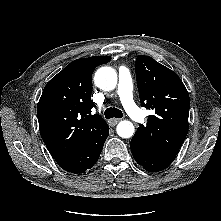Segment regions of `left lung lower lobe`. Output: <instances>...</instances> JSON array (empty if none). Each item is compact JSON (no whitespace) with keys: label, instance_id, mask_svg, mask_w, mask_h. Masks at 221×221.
I'll return each instance as SVG.
<instances>
[{"label":"left lung lower lobe","instance_id":"1","mask_svg":"<svg viewBox=\"0 0 221 221\" xmlns=\"http://www.w3.org/2000/svg\"><path fill=\"white\" fill-rule=\"evenodd\" d=\"M130 147L135 161L149 172L161 171L175 159V157L163 156L153 152L134 137L131 139Z\"/></svg>","mask_w":221,"mask_h":221}]
</instances>
